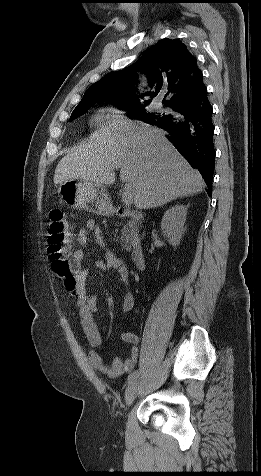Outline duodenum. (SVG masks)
Segmentation results:
<instances>
[{"mask_svg":"<svg viewBox=\"0 0 261 476\" xmlns=\"http://www.w3.org/2000/svg\"><path fill=\"white\" fill-rule=\"evenodd\" d=\"M116 215L120 218L131 217L135 221L140 220V217L137 214L129 213L125 209H118ZM131 260L136 269L143 270L145 268V254L142 247L136 246L133 248L131 252Z\"/></svg>","mask_w":261,"mask_h":476,"instance_id":"410a0bca","label":"duodenum"}]
</instances>
